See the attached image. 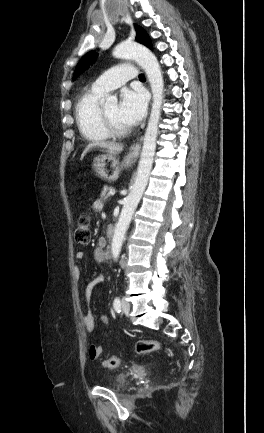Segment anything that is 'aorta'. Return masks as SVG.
Instances as JSON below:
<instances>
[{"instance_id": "obj_1", "label": "aorta", "mask_w": 264, "mask_h": 433, "mask_svg": "<svg viewBox=\"0 0 264 433\" xmlns=\"http://www.w3.org/2000/svg\"><path fill=\"white\" fill-rule=\"evenodd\" d=\"M113 56L116 58L134 59L144 69L153 95L151 113L143 139L135 181L130 193L124 199L123 208L112 238L111 254L113 259L117 261L132 216L146 189L152 170L156 150L158 124L161 116L164 81L157 58L148 48L141 44L123 42L115 47ZM107 101L116 102V98L110 96L107 98Z\"/></svg>"}]
</instances>
